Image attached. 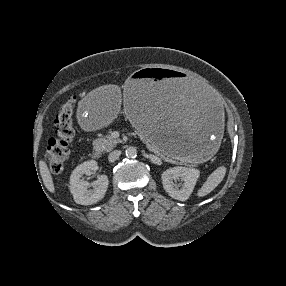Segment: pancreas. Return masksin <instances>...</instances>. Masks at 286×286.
Wrapping results in <instances>:
<instances>
[{
  "label": "pancreas",
  "instance_id": "1",
  "mask_svg": "<svg viewBox=\"0 0 286 286\" xmlns=\"http://www.w3.org/2000/svg\"><path fill=\"white\" fill-rule=\"evenodd\" d=\"M144 141L147 143V147L150 151L154 152L157 155H160L163 159H165L168 162H175L174 159H177L178 157L172 156V155H167V157H165L163 154L157 147L152 146L148 143V140L144 139ZM121 140L120 139H115L113 138L111 135H107L103 138H98L96 140L93 141V146L95 150L98 151H111L118 143H120Z\"/></svg>",
  "mask_w": 286,
  "mask_h": 286
}]
</instances>
